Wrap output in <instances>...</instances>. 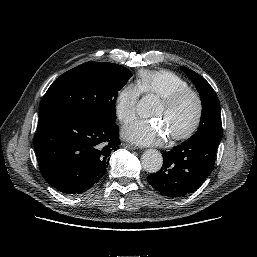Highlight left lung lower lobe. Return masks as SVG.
<instances>
[{
  "instance_id": "obj_1",
  "label": "left lung lower lobe",
  "mask_w": 257,
  "mask_h": 257,
  "mask_svg": "<svg viewBox=\"0 0 257 257\" xmlns=\"http://www.w3.org/2000/svg\"><path fill=\"white\" fill-rule=\"evenodd\" d=\"M219 143L210 139H187L162 154V168L149 175L147 181L169 197L194 192L213 170Z\"/></svg>"
}]
</instances>
